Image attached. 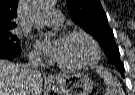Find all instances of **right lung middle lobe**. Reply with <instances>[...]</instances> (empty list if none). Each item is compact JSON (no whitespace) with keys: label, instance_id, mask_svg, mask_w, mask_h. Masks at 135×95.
<instances>
[{"label":"right lung middle lobe","instance_id":"obj_1","mask_svg":"<svg viewBox=\"0 0 135 95\" xmlns=\"http://www.w3.org/2000/svg\"><path fill=\"white\" fill-rule=\"evenodd\" d=\"M17 36L13 35L10 30H0V51L20 48Z\"/></svg>","mask_w":135,"mask_h":95}]
</instances>
